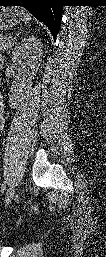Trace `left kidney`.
I'll return each mask as SVG.
<instances>
[{"mask_svg": "<svg viewBox=\"0 0 106 257\" xmlns=\"http://www.w3.org/2000/svg\"><path fill=\"white\" fill-rule=\"evenodd\" d=\"M42 42L34 36L21 40L12 52V61L15 65L21 66L20 76L25 80L34 79L40 66L42 56Z\"/></svg>", "mask_w": 106, "mask_h": 257, "instance_id": "1", "label": "left kidney"}]
</instances>
